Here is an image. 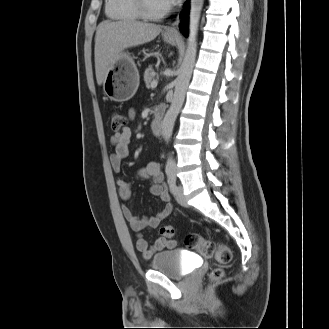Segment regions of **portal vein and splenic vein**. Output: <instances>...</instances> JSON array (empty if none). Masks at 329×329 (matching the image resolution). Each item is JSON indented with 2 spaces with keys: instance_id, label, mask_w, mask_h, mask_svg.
<instances>
[{
  "instance_id": "obj_1",
  "label": "portal vein and splenic vein",
  "mask_w": 329,
  "mask_h": 329,
  "mask_svg": "<svg viewBox=\"0 0 329 329\" xmlns=\"http://www.w3.org/2000/svg\"><path fill=\"white\" fill-rule=\"evenodd\" d=\"M157 84H158V81H157V80H153V81L151 82L150 87H151L152 89H153V88H156Z\"/></svg>"
}]
</instances>
